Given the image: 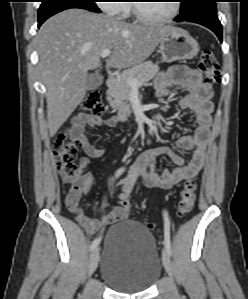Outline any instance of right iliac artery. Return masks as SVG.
I'll return each instance as SVG.
<instances>
[{"mask_svg":"<svg viewBox=\"0 0 248 299\" xmlns=\"http://www.w3.org/2000/svg\"><path fill=\"white\" fill-rule=\"evenodd\" d=\"M124 170H125L124 167L118 169V170L116 171V174H115V178H114V179L118 178V177L124 172ZM100 241H101V237L96 238V239L92 242V244H91V246H90V250H93V249L100 243Z\"/></svg>","mask_w":248,"mask_h":299,"instance_id":"1","label":"right iliac artery"}]
</instances>
